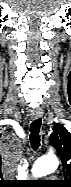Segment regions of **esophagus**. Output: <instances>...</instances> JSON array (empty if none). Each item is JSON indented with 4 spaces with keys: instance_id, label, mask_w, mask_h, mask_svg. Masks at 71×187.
<instances>
[{
    "instance_id": "obj_1",
    "label": "esophagus",
    "mask_w": 71,
    "mask_h": 187,
    "mask_svg": "<svg viewBox=\"0 0 71 187\" xmlns=\"http://www.w3.org/2000/svg\"><path fill=\"white\" fill-rule=\"evenodd\" d=\"M43 112L40 108L31 110L30 116L33 120H36L42 116Z\"/></svg>"
}]
</instances>
